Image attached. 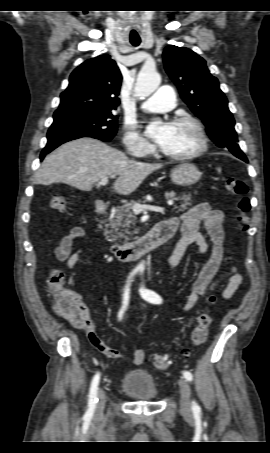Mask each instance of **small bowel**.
Returning <instances> with one entry per match:
<instances>
[{"label": "small bowel", "mask_w": 270, "mask_h": 453, "mask_svg": "<svg viewBox=\"0 0 270 453\" xmlns=\"http://www.w3.org/2000/svg\"><path fill=\"white\" fill-rule=\"evenodd\" d=\"M224 220L225 214L222 210L213 209L205 202L195 205L178 217L166 219L176 229L180 228L182 233V238L177 243L169 259V272H172L179 265L191 245H195L201 255L208 252L209 244L200 232L201 225L206 228L212 244L210 258L201 268L193 282L191 292L186 297L184 312H190L197 304L199 298L211 292L222 280H228L227 286L223 291L225 299L231 298L243 281L242 275L234 268L229 271L221 270L224 257ZM86 235L83 227H72L55 248L54 255L56 259L65 262L69 269H73L82 253L81 249H73V242L77 239L85 238ZM75 297L80 302L79 314L76 317L64 316V318L74 328L85 331L91 344L103 355L115 359L126 357L125 353L109 347L98 336L96 325L90 317L88 306L83 302L80 295L75 294ZM129 358L134 365H140L145 360V353L143 350L136 349L129 353Z\"/></svg>", "instance_id": "small-bowel-1"}]
</instances>
